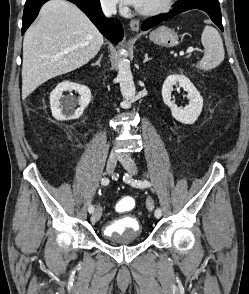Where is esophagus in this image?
<instances>
[{"instance_id":"1","label":"esophagus","mask_w":249,"mask_h":294,"mask_svg":"<svg viewBox=\"0 0 249 294\" xmlns=\"http://www.w3.org/2000/svg\"><path fill=\"white\" fill-rule=\"evenodd\" d=\"M140 22L139 20H131L130 21V28L132 31L136 32L139 30Z\"/></svg>"}]
</instances>
